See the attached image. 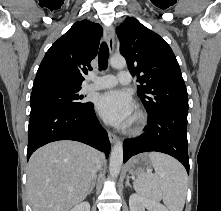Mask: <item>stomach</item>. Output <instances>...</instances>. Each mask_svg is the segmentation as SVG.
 I'll use <instances>...</instances> for the list:
<instances>
[{"instance_id": "1", "label": "stomach", "mask_w": 221, "mask_h": 211, "mask_svg": "<svg viewBox=\"0 0 221 211\" xmlns=\"http://www.w3.org/2000/svg\"><path fill=\"white\" fill-rule=\"evenodd\" d=\"M152 167V163L147 154H140L132 158L127 164V169L131 175L138 176L148 173Z\"/></svg>"}]
</instances>
